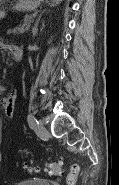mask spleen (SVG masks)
<instances>
[{"label":"spleen","instance_id":"spleen-1","mask_svg":"<svg viewBox=\"0 0 119 185\" xmlns=\"http://www.w3.org/2000/svg\"><path fill=\"white\" fill-rule=\"evenodd\" d=\"M54 2L58 3L60 0H53Z\"/></svg>","mask_w":119,"mask_h":185}]
</instances>
